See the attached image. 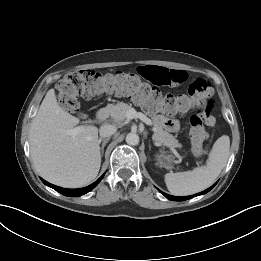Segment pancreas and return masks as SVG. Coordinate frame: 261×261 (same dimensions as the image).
<instances>
[{"label":"pancreas","instance_id":"cf45deb5","mask_svg":"<svg viewBox=\"0 0 261 261\" xmlns=\"http://www.w3.org/2000/svg\"><path fill=\"white\" fill-rule=\"evenodd\" d=\"M131 108L132 107L130 105L123 102H119L116 105L107 106L111 117L118 122H122L126 119V112ZM153 130L154 134L152 138L154 141L160 142L169 147L181 146L173 135L169 134L167 131H164L162 126L155 121H153Z\"/></svg>","mask_w":261,"mask_h":261}]
</instances>
